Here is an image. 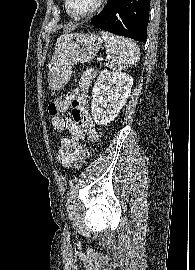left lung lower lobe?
Returning <instances> with one entry per match:
<instances>
[{
    "mask_svg": "<svg viewBox=\"0 0 195 270\" xmlns=\"http://www.w3.org/2000/svg\"><path fill=\"white\" fill-rule=\"evenodd\" d=\"M150 0H108L91 23L108 32L145 42Z\"/></svg>",
    "mask_w": 195,
    "mask_h": 270,
    "instance_id": "obj_1",
    "label": "left lung lower lobe"
}]
</instances>
